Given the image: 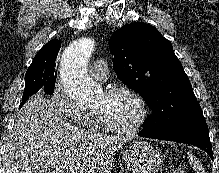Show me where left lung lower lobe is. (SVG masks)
I'll return each mask as SVG.
<instances>
[{"label": "left lung lower lobe", "instance_id": "0a47b994", "mask_svg": "<svg viewBox=\"0 0 219 173\" xmlns=\"http://www.w3.org/2000/svg\"><path fill=\"white\" fill-rule=\"evenodd\" d=\"M138 135L147 138L189 143L203 149L213 159L208 126L205 122L187 125L159 135L144 132H140Z\"/></svg>", "mask_w": 219, "mask_h": 173}]
</instances>
